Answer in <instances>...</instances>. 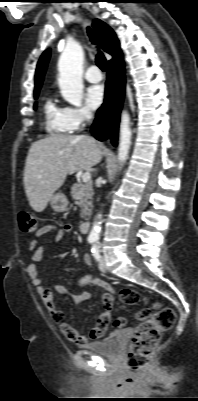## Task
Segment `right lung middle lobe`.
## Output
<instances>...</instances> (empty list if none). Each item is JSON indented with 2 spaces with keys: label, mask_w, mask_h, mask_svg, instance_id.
Wrapping results in <instances>:
<instances>
[{
  "label": "right lung middle lobe",
  "mask_w": 198,
  "mask_h": 401,
  "mask_svg": "<svg viewBox=\"0 0 198 401\" xmlns=\"http://www.w3.org/2000/svg\"><path fill=\"white\" fill-rule=\"evenodd\" d=\"M38 94H39V93L35 94V98H37V97H38Z\"/></svg>",
  "instance_id": "dd1d6c3e"
}]
</instances>
